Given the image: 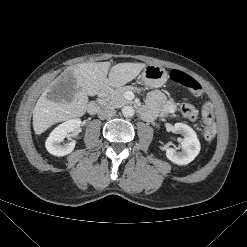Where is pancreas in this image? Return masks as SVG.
<instances>
[{"instance_id":"cf45deb5","label":"pancreas","mask_w":247,"mask_h":247,"mask_svg":"<svg viewBox=\"0 0 247 247\" xmlns=\"http://www.w3.org/2000/svg\"><path fill=\"white\" fill-rule=\"evenodd\" d=\"M134 90L137 89L133 86H125L113 90L108 97L102 100V104L109 108H120L124 105L130 104L132 102L125 98V93L126 91H134Z\"/></svg>"}]
</instances>
